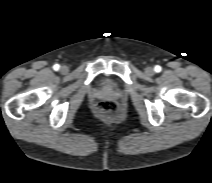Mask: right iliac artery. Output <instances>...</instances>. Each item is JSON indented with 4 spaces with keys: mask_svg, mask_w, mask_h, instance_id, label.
<instances>
[{
    "mask_svg": "<svg viewBox=\"0 0 212 183\" xmlns=\"http://www.w3.org/2000/svg\"><path fill=\"white\" fill-rule=\"evenodd\" d=\"M59 68H60V66H59L58 64H55V65L53 66V69H54L55 71L59 70Z\"/></svg>",
    "mask_w": 212,
    "mask_h": 183,
    "instance_id": "obj_1",
    "label": "right iliac artery"
}]
</instances>
